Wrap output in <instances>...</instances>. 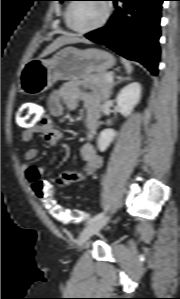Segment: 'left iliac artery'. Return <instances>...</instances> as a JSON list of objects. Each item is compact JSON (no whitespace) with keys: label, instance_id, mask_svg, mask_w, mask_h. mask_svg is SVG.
Masks as SVG:
<instances>
[{"label":"left iliac artery","instance_id":"obj_1","mask_svg":"<svg viewBox=\"0 0 180 299\" xmlns=\"http://www.w3.org/2000/svg\"><path fill=\"white\" fill-rule=\"evenodd\" d=\"M103 216H104V212L96 214L94 217H92L91 219L88 220V222L86 223V225L90 224V223H92V222H94V221H96V220H98L100 218H102Z\"/></svg>","mask_w":180,"mask_h":299}]
</instances>
